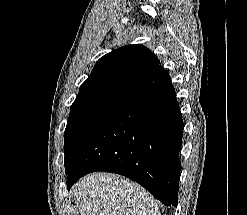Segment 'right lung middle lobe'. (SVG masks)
<instances>
[{"label": "right lung middle lobe", "instance_id": "dd1d6c3e", "mask_svg": "<svg viewBox=\"0 0 247 215\" xmlns=\"http://www.w3.org/2000/svg\"><path fill=\"white\" fill-rule=\"evenodd\" d=\"M129 88H109L79 92L73 102L64 132V165L68 173L76 147L84 134L109 113L128 93Z\"/></svg>", "mask_w": 247, "mask_h": 215}]
</instances>
